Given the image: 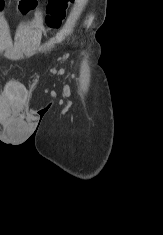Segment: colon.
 Wrapping results in <instances>:
<instances>
[{
    "mask_svg": "<svg viewBox=\"0 0 163 235\" xmlns=\"http://www.w3.org/2000/svg\"><path fill=\"white\" fill-rule=\"evenodd\" d=\"M3 0H0V9L3 6ZM74 0H48L46 7V26L49 30L57 29L65 19L66 11ZM37 0H18V7L22 13H28L35 9Z\"/></svg>",
    "mask_w": 163,
    "mask_h": 235,
    "instance_id": "5ec220e1",
    "label": "colon"
}]
</instances>
